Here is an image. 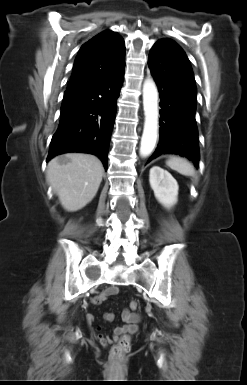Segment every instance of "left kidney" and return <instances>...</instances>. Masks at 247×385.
<instances>
[{
    "instance_id": "5707ae66",
    "label": "left kidney",
    "mask_w": 247,
    "mask_h": 385,
    "mask_svg": "<svg viewBox=\"0 0 247 385\" xmlns=\"http://www.w3.org/2000/svg\"><path fill=\"white\" fill-rule=\"evenodd\" d=\"M149 182L156 199L165 207L177 203L179 186L173 176L159 166L150 169Z\"/></svg>"
}]
</instances>
